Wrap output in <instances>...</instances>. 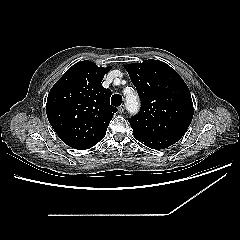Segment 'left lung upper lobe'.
<instances>
[{"label": "left lung upper lobe", "mask_w": 240, "mask_h": 240, "mask_svg": "<svg viewBox=\"0 0 240 240\" xmlns=\"http://www.w3.org/2000/svg\"><path fill=\"white\" fill-rule=\"evenodd\" d=\"M141 100L129 122L142 135L182 137L193 118L189 88L169 65L153 59L126 66Z\"/></svg>", "instance_id": "5c2ea615"}]
</instances>
